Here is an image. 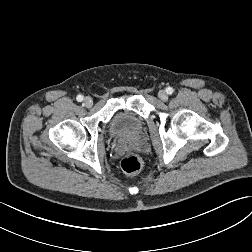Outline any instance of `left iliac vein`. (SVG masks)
I'll list each match as a JSON object with an SVG mask.
<instances>
[{"mask_svg":"<svg viewBox=\"0 0 252 252\" xmlns=\"http://www.w3.org/2000/svg\"><path fill=\"white\" fill-rule=\"evenodd\" d=\"M158 96L162 101H166L168 99V94L165 90H160Z\"/></svg>","mask_w":252,"mask_h":252,"instance_id":"obj_1","label":"left iliac vein"}]
</instances>
